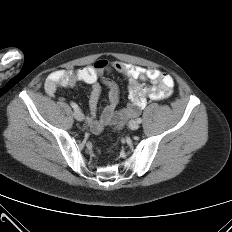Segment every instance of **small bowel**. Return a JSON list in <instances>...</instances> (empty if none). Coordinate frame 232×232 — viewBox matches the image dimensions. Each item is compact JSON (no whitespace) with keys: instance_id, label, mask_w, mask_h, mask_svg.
<instances>
[{"instance_id":"obj_1","label":"small bowel","mask_w":232,"mask_h":232,"mask_svg":"<svg viewBox=\"0 0 232 232\" xmlns=\"http://www.w3.org/2000/svg\"><path fill=\"white\" fill-rule=\"evenodd\" d=\"M122 76L127 84L129 104L123 110L117 111L119 88L117 84L106 77L109 72ZM141 80L150 81L143 85ZM79 83L91 86L89 95V116L87 124L93 133H99L107 125H116L119 115L128 114L129 119L135 117L146 106L148 99L163 100L170 97L174 89L173 77L156 68H146L121 61L99 59L93 64L78 70H56L49 74L45 82V90L53 96L59 87L76 88ZM101 84L109 90V105L97 116V106L101 93ZM132 112L131 114L129 112Z\"/></svg>"}]
</instances>
